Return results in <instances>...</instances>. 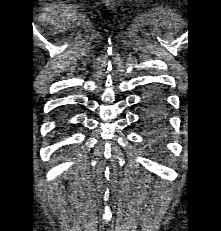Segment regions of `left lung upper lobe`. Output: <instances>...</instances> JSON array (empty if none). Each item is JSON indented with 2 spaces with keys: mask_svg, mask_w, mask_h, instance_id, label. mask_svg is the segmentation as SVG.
<instances>
[{
  "mask_svg": "<svg viewBox=\"0 0 221 231\" xmlns=\"http://www.w3.org/2000/svg\"><path fill=\"white\" fill-rule=\"evenodd\" d=\"M147 103L156 105L159 103V97L152 95L150 98L147 99ZM147 120L154 124H160L161 120L159 119V110L152 108L151 111L147 113Z\"/></svg>",
  "mask_w": 221,
  "mask_h": 231,
  "instance_id": "5c2ea615",
  "label": "left lung upper lobe"
}]
</instances>
